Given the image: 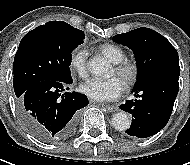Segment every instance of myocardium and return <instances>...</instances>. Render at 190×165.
I'll return each mask as SVG.
<instances>
[{
    "mask_svg": "<svg viewBox=\"0 0 190 165\" xmlns=\"http://www.w3.org/2000/svg\"><path fill=\"white\" fill-rule=\"evenodd\" d=\"M114 69L116 75L121 78L126 86H132L136 83L139 76V70L136 63L129 60H123L119 63H115Z\"/></svg>",
    "mask_w": 190,
    "mask_h": 165,
    "instance_id": "f54148a6",
    "label": "myocardium"
}]
</instances>
